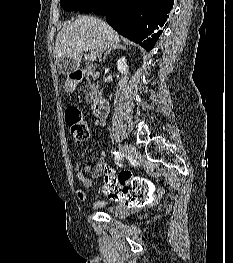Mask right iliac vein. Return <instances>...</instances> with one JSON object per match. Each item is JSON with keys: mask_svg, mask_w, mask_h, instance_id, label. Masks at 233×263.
<instances>
[{"mask_svg": "<svg viewBox=\"0 0 233 263\" xmlns=\"http://www.w3.org/2000/svg\"><path fill=\"white\" fill-rule=\"evenodd\" d=\"M123 152L131 155V156H135L137 154V149L135 146L131 145V144H125L122 148Z\"/></svg>", "mask_w": 233, "mask_h": 263, "instance_id": "obj_1", "label": "right iliac vein"}]
</instances>
